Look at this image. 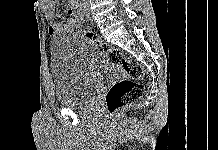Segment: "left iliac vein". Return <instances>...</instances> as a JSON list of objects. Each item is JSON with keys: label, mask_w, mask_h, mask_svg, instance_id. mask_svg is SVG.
Returning a JSON list of instances; mask_svg holds the SVG:
<instances>
[{"label": "left iliac vein", "mask_w": 218, "mask_h": 150, "mask_svg": "<svg viewBox=\"0 0 218 150\" xmlns=\"http://www.w3.org/2000/svg\"><path fill=\"white\" fill-rule=\"evenodd\" d=\"M83 12H84V15L86 17V19L90 20V21H93V18L91 16V13H90V10H89V6L87 4H85L83 6Z\"/></svg>", "instance_id": "obj_1"}]
</instances>
